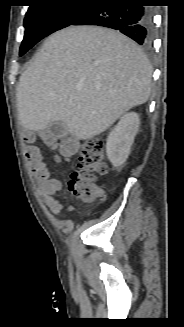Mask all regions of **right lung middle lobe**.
Listing matches in <instances>:
<instances>
[{"mask_svg":"<svg viewBox=\"0 0 184 327\" xmlns=\"http://www.w3.org/2000/svg\"><path fill=\"white\" fill-rule=\"evenodd\" d=\"M94 1L50 0L29 7L24 19L25 36L19 55L22 56L34 44L51 33L72 25Z\"/></svg>","mask_w":184,"mask_h":327,"instance_id":"1","label":"right lung middle lobe"}]
</instances>
